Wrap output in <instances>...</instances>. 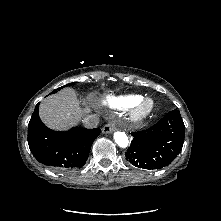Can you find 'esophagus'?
<instances>
[{
	"label": "esophagus",
	"instance_id": "obj_1",
	"mask_svg": "<svg viewBox=\"0 0 221 221\" xmlns=\"http://www.w3.org/2000/svg\"><path fill=\"white\" fill-rule=\"evenodd\" d=\"M116 129H117V124L115 123V121H110L104 125V127L102 128V132L107 134L114 132Z\"/></svg>",
	"mask_w": 221,
	"mask_h": 221
}]
</instances>
